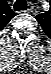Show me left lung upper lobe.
Segmentation results:
<instances>
[{
	"mask_svg": "<svg viewBox=\"0 0 51 74\" xmlns=\"http://www.w3.org/2000/svg\"><path fill=\"white\" fill-rule=\"evenodd\" d=\"M43 16H44V13H43V14H39V15H37V16L35 17L41 25H42V23L44 22V21H43Z\"/></svg>",
	"mask_w": 51,
	"mask_h": 74,
	"instance_id": "left-lung-upper-lobe-1",
	"label": "left lung upper lobe"
}]
</instances>
